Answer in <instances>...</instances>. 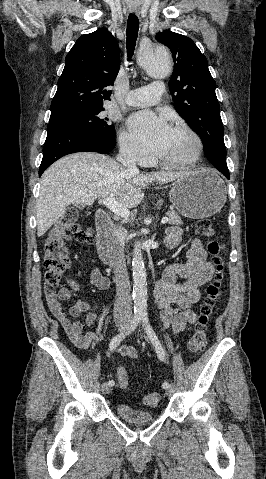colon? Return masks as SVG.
<instances>
[{
	"label": "colon",
	"mask_w": 266,
	"mask_h": 479,
	"mask_svg": "<svg viewBox=\"0 0 266 479\" xmlns=\"http://www.w3.org/2000/svg\"><path fill=\"white\" fill-rule=\"evenodd\" d=\"M77 218V211L68 209L46 237L44 243V266L46 268L44 283L45 289L48 291H52L58 286L62 275L70 266V258L65 243L67 233L70 232L73 238L79 242H90L93 239V230L82 228L77 223ZM196 230L199 235L207 239V248L212 255L215 266V277L207 287V295L202 304L193 334L188 342V349L191 353H199L206 347L208 322L222 295L225 276V264L222 257L223 244L214 238L215 231L211 221L208 219L198 220ZM117 378L121 388L127 389L129 387V376L124 367L118 369ZM158 401L159 395L156 393L146 394L143 398L144 404L148 406H155Z\"/></svg>",
	"instance_id": "obj_1"
}]
</instances>
